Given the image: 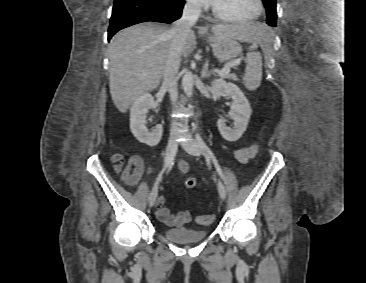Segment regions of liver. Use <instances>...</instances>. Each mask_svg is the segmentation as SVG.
<instances>
[{
  "label": "liver",
  "mask_w": 366,
  "mask_h": 283,
  "mask_svg": "<svg viewBox=\"0 0 366 283\" xmlns=\"http://www.w3.org/2000/svg\"><path fill=\"white\" fill-rule=\"evenodd\" d=\"M167 25L144 22L118 32L108 45L110 57L109 87L114 105L120 112H127L131 103L141 94L152 91L161 82L165 59L171 43ZM218 35H225L241 42L264 44L270 30L254 23L218 24L211 28ZM191 31L182 49L188 57L196 45Z\"/></svg>",
  "instance_id": "obj_1"
}]
</instances>
